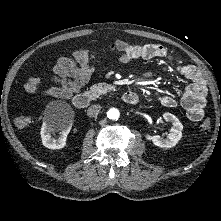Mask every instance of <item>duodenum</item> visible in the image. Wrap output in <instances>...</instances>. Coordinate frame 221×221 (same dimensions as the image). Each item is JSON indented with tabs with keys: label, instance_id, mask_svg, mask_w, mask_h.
I'll use <instances>...</instances> for the list:
<instances>
[{
	"label": "duodenum",
	"instance_id": "obj_1",
	"mask_svg": "<svg viewBox=\"0 0 221 221\" xmlns=\"http://www.w3.org/2000/svg\"><path fill=\"white\" fill-rule=\"evenodd\" d=\"M122 100L127 104L134 105L138 102V95L134 91H126L122 96ZM72 101L76 108L84 109L89 106L91 100L88 94L78 93L73 97Z\"/></svg>",
	"mask_w": 221,
	"mask_h": 221
}]
</instances>
